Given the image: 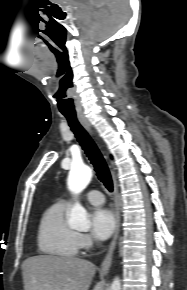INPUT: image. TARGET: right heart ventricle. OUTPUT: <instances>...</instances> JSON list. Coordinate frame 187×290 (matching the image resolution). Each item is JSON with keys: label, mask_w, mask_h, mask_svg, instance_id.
I'll use <instances>...</instances> for the list:
<instances>
[{"label": "right heart ventricle", "mask_w": 187, "mask_h": 290, "mask_svg": "<svg viewBox=\"0 0 187 290\" xmlns=\"http://www.w3.org/2000/svg\"><path fill=\"white\" fill-rule=\"evenodd\" d=\"M67 205L56 202L43 213L38 227V247L44 254L72 258L80 249L78 234L65 220Z\"/></svg>", "instance_id": "e07e8e85"}]
</instances>
